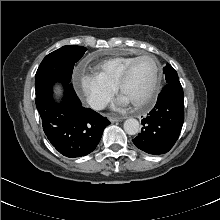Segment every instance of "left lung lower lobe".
I'll return each mask as SVG.
<instances>
[{
	"label": "left lung lower lobe",
	"instance_id": "1",
	"mask_svg": "<svg viewBox=\"0 0 220 220\" xmlns=\"http://www.w3.org/2000/svg\"><path fill=\"white\" fill-rule=\"evenodd\" d=\"M184 122V93L180 81L167 83L155 107L142 120V130L133 143L142 151L167 153L177 141Z\"/></svg>",
	"mask_w": 220,
	"mask_h": 220
}]
</instances>
